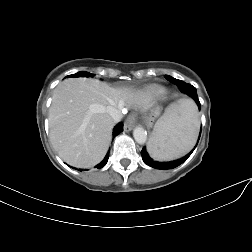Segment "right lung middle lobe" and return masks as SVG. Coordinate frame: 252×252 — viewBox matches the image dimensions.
<instances>
[{
  "instance_id": "1",
  "label": "right lung middle lobe",
  "mask_w": 252,
  "mask_h": 252,
  "mask_svg": "<svg viewBox=\"0 0 252 252\" xmlns=\"http://www.w3.org/2000/svg\"><path fill=\"white\" fill-rule=\"evenodd\" d=\"M94 74H90L85 71L78 72L76 74L68 75L67 77H93Z\"/></svg>"
}]
</instances>
